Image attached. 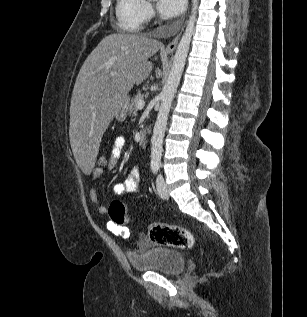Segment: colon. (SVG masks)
<instances>
[{
	"label": "colon",
	"instance_id": "5ec220e1",
	"mask_svg": "<svg viewBox=\"0 0 307 317\" xmlns=\"http://www.w3.org/2000/svg\"><path fill=\"white\" fill-rule=\"evenodd\" d=\"M108 160L107 157L99 154L96 159V168H105ZM109 215L112 222L119 226L128 223L125 205L120 200L112 201ZM148 235L150 241L156 245L177 249L191 248L194 243L192 234L187 229L176 225L153 223L148 228Z\"/></svg>",
	"mask_w": 307,
	"mask_h": 317
}]
</instances>
